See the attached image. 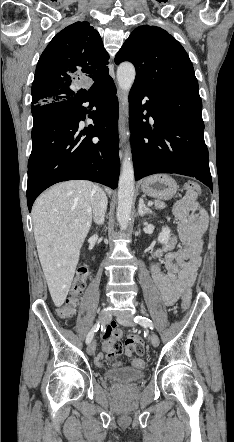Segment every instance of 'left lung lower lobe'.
Instances as JSON below:
<instances>
[{
    "label": "left lung lower lobe",
    "mask_w": 234,
    "mask_h": 442,
    "mask_svg": "<svg viewBox=\"0 0 234 442\" xmlns=\"http://www.w3.org/2000/svg\"><path fill=\"white\" fill-rule=\"evenodd\" d=\"M129 102L135 180L177 173L196 177L213 190L199 90L133 84Z\"/></svg>",
    "instance_id": "1"
}]
</instances>
